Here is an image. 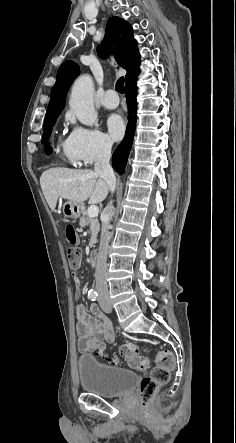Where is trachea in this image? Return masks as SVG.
Returning a JSON list of instances; mask_svg holds the SVG:
<instances>
[{"label":"trachea","instance_id":"3493384b","mask_svg":"<svg viewBox=\"0 0 236 443\" xmlns=\"http://www.w3.org/2000/svg\"><path fill=\"white\" fill-rule=\"evenodd\" d=\"M116 90L120 94L124 93V77H120L118 81L116 82Z\"/></svg>","mask_w":236,"mask_h":443}]
</instances>
